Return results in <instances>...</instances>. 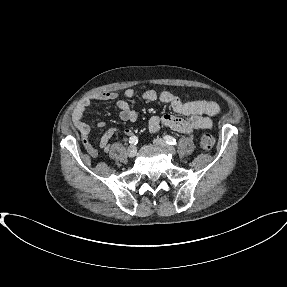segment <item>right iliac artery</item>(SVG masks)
I'll use <instances>...</instances> for the list:
<instances>
[{"label":"right iliac artery","mask_w":287,"mask_h":287,"mask_svg":"<svg viewBox=\"0 0 287 287\" xmlns=\"http://www.w3.org/2000/svg\"><path fill=\"white\" fill-rule=\"evenodd\" d=\"M129 143L132 145H136L138 143V137L137 136H131L129 138Z\"/></svg>","instance_id":"82829eb1"}]
</instances>
